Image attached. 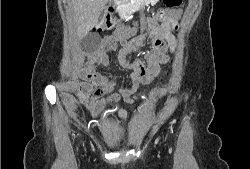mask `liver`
<instances>
[{
    "label": "liver",
    "mask_w": 250,
    "mask_h": 169,
    "mask_svg": "<svg viewBox=\"0 0 250 169\" xmlns=\"http://www.w3.org/2000/svg\"><path fill=\"white\" fill-rule=\"evenodd\" d=\"M71 2L75 14L77 36L82 38L95 26L109 0H71Z\"/></svg>",
    "instance_id": "1"
}]
</instances>
